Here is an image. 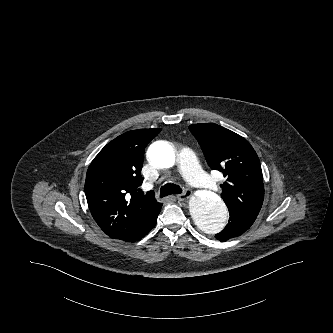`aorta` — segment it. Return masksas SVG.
I'll return each instance as SVG.
<instances>
[{"mask_svg":"<svg viewBox=\"0 0 333 333\" xmlns=\"http://www.w3.org/2000/svg\"><path fill=\"white\" fill-rule=\"evenodd\" d=\"M147 156L148 161L156 168H171L175 164L174 149L164 141L152 144ZM189 212L196 226L208 234L224 230L229 218L225 203L212 192L192 197Z\"/></svg>","mask_w":333,"mask_h":333,"instance_id":"obj_1","label":"aorta"}]
</instances>
